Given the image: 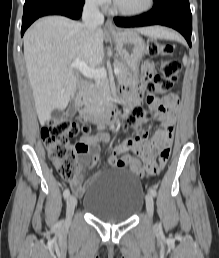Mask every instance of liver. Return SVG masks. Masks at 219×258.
I'll use <instances>...</instances> for the list:
<instances>
[{
  "instance_id": "obj_1",
  "label": "liver",
  "mask_w": 219,
  "mask_h": 258,
  "mask_svg": "<svg viewBox=\"0 0 219 258\" xmlns=\"http://www.w3.org/2000/svg\"><path fill=\"white\" fill-rule=\"evenodd\" d=\"M158 27L140 28L155 36ZM177 37V36H176ZM104 33L98 27L88 33L84 24L63 16L36 21L24 35V59L36 112L43 124L55 109L64 110L73 96L77 77L69 66L80 59L91 67L104 58Z\"/></svg>"
}]
</instances>
